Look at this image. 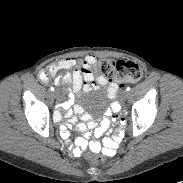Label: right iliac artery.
<instances>
[{"instance_id":"82829eb1","label":"right iliac artery","mask_w":183,"mask_h":183,"mask_svg":"<svg viewBox=\"0 0 183 183\" xmlns=\"http://www.w3.org/2000/svg\"><path fill=\"white\" fill-rule=\"evenodd\" d=\"M50 90H51V91H54V87H51Z\"/></svg>"}]
</instances>
